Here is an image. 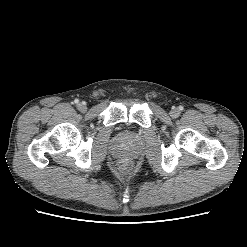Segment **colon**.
<instances>
[{
  "label": "colon",
  "instance_id": "5ec220e1",
  "mask_svg": "<svg viewBox=\"0 0 247 247\" xmlns=\"http://www.w3.org/2000/svg\"><path fill=\"white\" fill-rule=\"evenodd\" d=\"M130 169V162L128 160H121L118 163V171L121 174H125L129 171Z\"/></svg>",
  "mask_w": 247,
  "mask_h": 247
}]
</instances>
